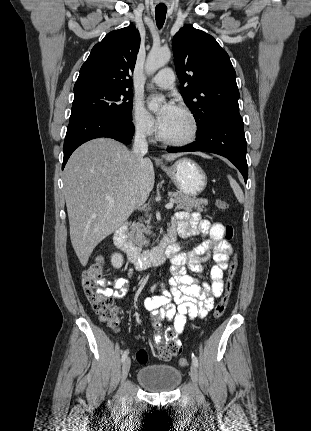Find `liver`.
<instances>
[{"instance_id":"6515ba94","label":"liver","mask_w":311,"mask_h":431,"mask_svg":"<svg viewBox=\"0 0 311 431\" xmlns=\"http://www.w3.org/2000/svg\"><path fill=\"white\" fill-rule=\"evenodd\" d=\"M183 154H165L173 162ZM64 196L70 239L82 265L96 245L118 229L134 210L146 202L155 184L149 158L138 160L126 146L97 138L82 144L64 170ZM108 198L115 204L109 206Z\"/></svg>"}]
</instances>
